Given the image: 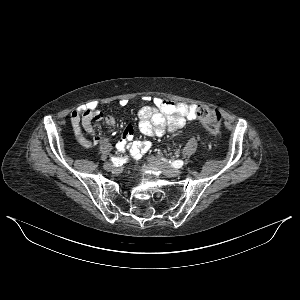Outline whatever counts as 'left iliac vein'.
<instances>
[{"label": "left iliac vein", "instance_id": "obj_1", "mask_svg": "<svg viewBox=\"0 0 300 300\" xmlns=\"http://www.w3.org/2000/svg\"><path fill=\"white\" fill-rule=\"evenodd\" d=\"M148 162L151 166L161 170L162 173L164 175H166L167 177H177L182 174L181 170L172 168L164 163H161L160 161L156 160L155 158H149Z\"/></svg>", "mask_w": 300, "mask_h": 300}]
</instances>
